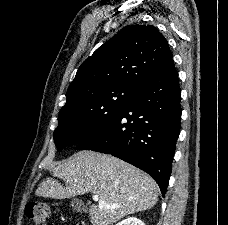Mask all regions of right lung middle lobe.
<instances>
[{
    "mask_svg": "<svg viewBox=\"0 0 228 225\" xmlns=\"http://www.w3.org/2000/svg\"><path fill=\"white\" fill-rule=\"evenodd\" d=\"M135 88L113 84L92 90L65 104L59 112L54 142L61 151L79 143L112 118L129 99Z\"/></svg>",
    "mask_w": 228,
    "mask_h": 225,
    "instance_id": "right-lung-middle-lobe-1",
    "label": "right lung middle lobe"
}]
</instances>
